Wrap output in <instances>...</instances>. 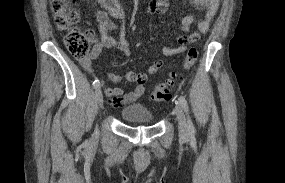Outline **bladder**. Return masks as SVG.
Instances as JSON below:
<instances>
[{"label": "bladder", "mask_w": 285, "mask_h": 183, "mask_svg": "<svg viewBox=\"0 0 285 183\" xmlns=\"http://www.w3.org/2000/svg\"><path fill=\"white\" fill-rule=\"evenodd\" d=\"M120 114L126 122L149 124L154 120L153 113L141 104H130Z\"/></svg>", "instance_id": "bladder-1"}]
</instances>
